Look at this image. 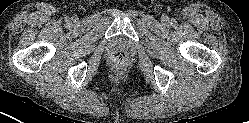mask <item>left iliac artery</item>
<instances>
[{
  "mask_svg": "<svg viewBox=\"0 0 249 123\" xmlns=\"http://www.w3.org/2000/svg\"><path fill=\"white\" fill-rule=\"evenodd\" d=\"M175 23H176V21H174V20L171 22V24H175Z\"/></svg>",
  "mask_w": 249,
  "mask_h": 123,
  "instance_id": "left-iliac-artery-1",
  "label": "left iliac artery"
}]
</instances>
